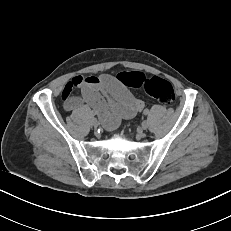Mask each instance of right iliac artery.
I'll list each match as a JSON object with an SVG mask.
<instances>
[{"label":"right iliac artery","instance_id":"82829eb1","mask_svg":"<svg viewBox=\"0 0 231 231\" xmlns=\"http://www.w3.org/2000/svg\"><path fill=\"white\" fill-rule=\"evenodd\" d=\"M91 115L94 117L96 115V113L94 111H92Z\"/></svg>","mask_w":231,"mask_h":231}]
</instances>
